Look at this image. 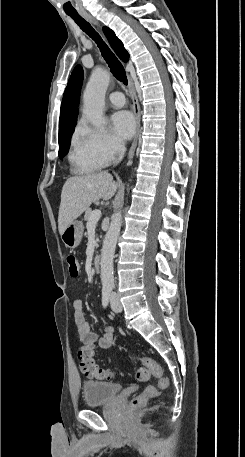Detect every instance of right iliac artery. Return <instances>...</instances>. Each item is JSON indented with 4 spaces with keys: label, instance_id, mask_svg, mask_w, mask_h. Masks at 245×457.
Here are the masks:
<instances>
[{
    "label": "right iliac artery",
    "instance_id": "82829eb1",
    "mask_svg": "<svg viewBox=\"0 0 245 457\" xmlns=\"http://www.w3.org/2000/svg\"><path fill=\"white\" fill-rule=\"evenodd\" d=\"M111 291L112 288L110 287H104L102 289V304L104 307H107L109 301L111 300Z\"/></svg>",
    "mask_w": 245,
    "mask_h": 457
}]
</instances>
